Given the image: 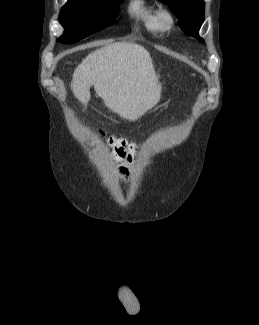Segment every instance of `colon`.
Here are the masks:
<instances>
[{
	"instance_id": "obj_1",
	"label": "colon",
	"mask_w": 259,
	"mask_h": 325,
	"mask_svg": "<svg viewBox=\"0 0 259 325\" xmlns=\"http://www.w3.org/2000/svg\"><path fill=\"white\" fill-rule=\"evenodd\" d=\"M95 138L105 142V146L113 157L119 160L134 162L140 153V146L125 138L108 136L102 129H97Z\"/></svg>"
}]
</instances>
